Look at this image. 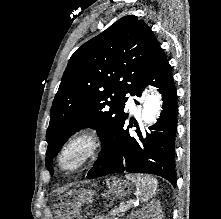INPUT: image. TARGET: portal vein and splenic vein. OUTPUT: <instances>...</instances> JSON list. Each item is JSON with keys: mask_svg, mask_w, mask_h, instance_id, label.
I'll return each mask as SVG.
<instances>
[{"mask_svg": "<svg viewBox=\"0 0 221 219\" xmlns=\"http://www.w3.org/2000/svg\"><path fill=\"white\" fill-rule=\"evenodd\" d=\"M129 204H135V201L134 200H130ZM121 206H124V204H121Z\"/></svg>", "mask_w": 221, "mask_h": 219, "instance_id": "1", "label": "portal vein and splenic vein"}]
</instances>
